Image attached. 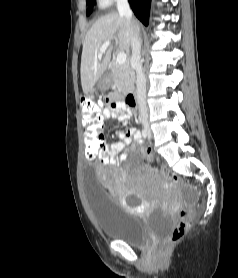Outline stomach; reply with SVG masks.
Returning a JSON list of instances; mask_svg holds the SVG:
<instances>
[{
    "label": "stomach",
    "instance_id": "obj_1",
    "mask_svg": "<svg viewBox=\"0 0 238 278\" xmlns=\"http://www.w3.org/2000/svg\"><path fill=\"white\" fill-rule=\"evenodd\" d=\"M113 81H114L113 75L110 72H106L100 78L99 83H98V87L101 90H106V89H108L109 87L112 86Z\"/></svg>",
    "mask_w": 238,
    "mask_h": 278
}]
</instances>
